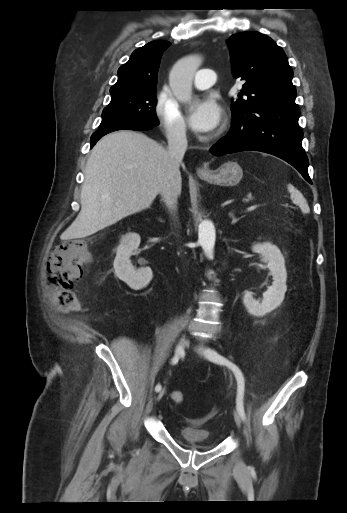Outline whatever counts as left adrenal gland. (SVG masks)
<instances>
[{"instance_id": "1", "label": "left adrenal gland", "mask_w": 347, "mask_h": 513, "mask_svg": "<svg viewBox=\"0 0 347 513\" xmlns=\"http://www.w3.org/2000/svg\"><path fill=\"white\" fill-rule=\"evenodd\" d=\"M230 218L232 219V224H235L240 220V218H236L233 212L229 213Z\"/></svg>"}]
</instances>
